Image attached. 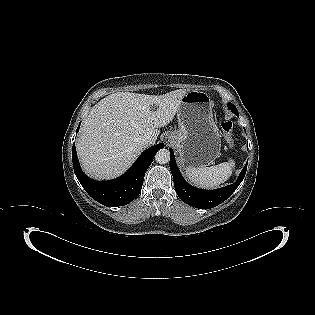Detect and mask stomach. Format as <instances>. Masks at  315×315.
<instances>
[{"label":"stomach","instance_id":"stomach-1","mask_svg":"<svg viewBox=\"0 0 315 315\" xmlns=\"http://www.w3.org/2000/svg\"><path fill=\"white\" fill-rule=\"evenodd\" d=\"M212 108L213 101L203 91H188L181 99L177 112L178 130L170 136L180 165L185 169L208 166L220 154L221 139Z\"/></svg>","mask_w":315,"mask_h":315}]
</instances>
